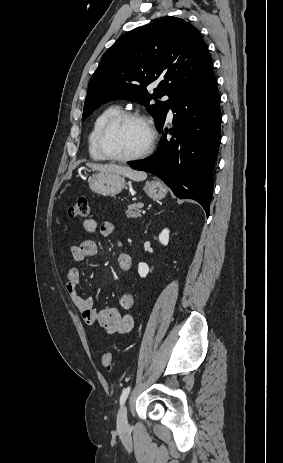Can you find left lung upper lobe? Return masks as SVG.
<instances>
[{
	"label": "left lung upper lobe",
	"mask_w": 283,
	"mask_h": 463,
	"mask_svg": "<svg viewBox=\"0 0 283 463\" xmlns=\"http://www.w3.org/2000/svg\"><path fill=\"white\" fill-rule=\"evenodd\" d=\"M211 68L204 40L185 20L167 17L135 28L103 54L89 82L82 120L102 103L130 99L147 106L158 129L175 97L204 78ZM158 79L160 83L149 94L146 86ZM164 95L170 100L149 105Z\"/></svg>",
	"instance_id": "1"
}]
</instances>
